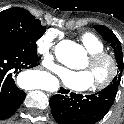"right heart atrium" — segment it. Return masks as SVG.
Here are the masks:
<instances>
[{
  "instance_id": "obj_1",
  "label": "right heart atrium",
  "mask_w": 124,
  "mask_h": 124,
  "mask_svg": "<svg viewBox=\"0 0 124 124\" xmlns=\"http://www.w3.org/2000/svg\"><path fill=\"white\" fill-rule=\"evenodd\" d=\"M56 33L54 31H46L37 40V52L42 58V63L50 70L57 68L56 56L54 54Z\"/></svg>"
}]
</instances>
